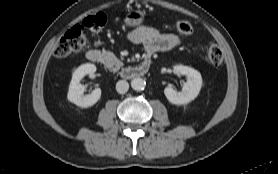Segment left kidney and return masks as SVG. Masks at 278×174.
<instances>
[{"instance_id":"obj_1","label":"left kidney","mask_w":278,"mask_h":174,"mask_svg":"<svg viewBox=\"0 0 278 174\" xmlns=\"http://www.w3.org/2000/svg\"><path fill=\"white\" fill-rule=\"evenodd\" d=\"M176 74H182L187 77L182 90L176 91L171 87H166L164 94L168 101L175 105H184L193 101L199 94L202 87V77L197 70L183 65L174 66Z\"/></svg>"}]
</instances>
